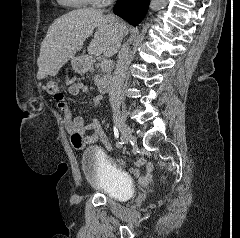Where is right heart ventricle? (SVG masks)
Instances as JSON below:
<instances>
[{"label":"right heart ventricle","mask_w":240,"mask_h":238,"mask_svg":"<svg viewBox=\"0 0 240 238\" xmlns=\"http://www.w3.org/2000/svg\"><path fill=\"white\" fill-rule=\"evenodd\" d=\"M92 0H57V2L68 8H81L88 5Z\"/></svg>","instance_id":"1"}]
</instances>
